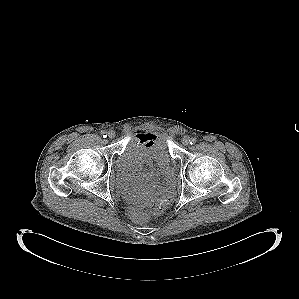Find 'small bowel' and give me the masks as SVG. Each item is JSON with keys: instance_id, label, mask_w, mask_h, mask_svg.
<instances>
[{"instance_id": "small-bowel-1", "label": "small bowel", "mask_w": 299, "mask_h": 299, "mask_svg": "<svg viewBox=\"0 0 299 299\" xmlns=\"http://www.w3.org/2000/svg\"><path fill=\"white\" fill-rule=\"evenodd\" d=\"M154 137L153 134H150V133H147V134H142V135H139V138L143 141H150L152 138ZM140 167V166H139ZM163 173L167 176L166 178V183L160 187H158V192L159 193H164L168 190V187H169V184L171 182V179L170 177L166 174L165 170H163ZM155 178H156V174L154 171H150L146 174H144L142 177H141V181L143 182H148L151 184V190L153 189L154 187V182H155Z\"/></svg>"}]
</instances>
